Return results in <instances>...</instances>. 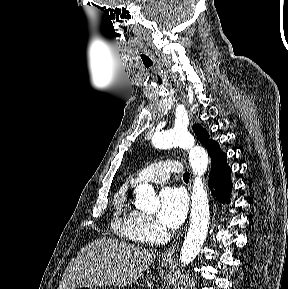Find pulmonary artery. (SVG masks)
I'll use <instances>...</instances> for the list:
<instances>
[{"mask_svg": "<svg viewBox=\"0 0 288 289\" xmlns=\"http://www.w3.org/2000/svg\"><path fill=\"white\" fill-rule=\"evenodd\" d=\"M180 173H183V166L180 162L176 160H161L146 166L131 182L132 184L140 182L164 183L171 174Z\"/></svg>", "mask_w": 288, "mask_h": 289, "instance_id": "pulmonary-artery-1", "label": "pulmonary artery"}]
</instances>
